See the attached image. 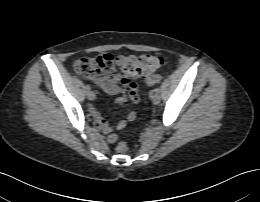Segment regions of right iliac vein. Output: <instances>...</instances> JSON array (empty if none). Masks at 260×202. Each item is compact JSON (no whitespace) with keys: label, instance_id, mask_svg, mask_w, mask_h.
Masks as SVG:
<instances>
[{"label":"right iliac vein","instance_id":"1","mask_svg":"<svg viewBox=\"0 0 260 202\" xmlns=\"http://www.w3.org/2000/svg\"><path fill=\"white\" fill-rule=\"evenodd\" d=\"M87 97H88L89 100H94L95 95L92 91H89V92H87Z\"/></svg>","mask_w":260,"mask_h":202}]
</instances>
